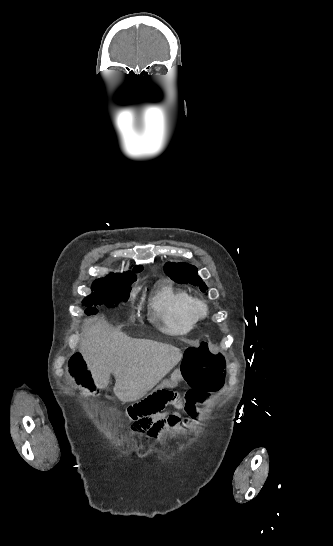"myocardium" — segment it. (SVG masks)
Segmentation results:
<instances>
[{"label": "myocardium", "instance_id": "myocardium-1", "mask_svg": "<svg viewBox=\"0 0 333 546\" xmlns=\"http://www.w3.org/2000/svg\"><path fill=\"white\" fill-rule=\"evenodd\" d=\"M191 312L193 317L196 319V321L201 320L207 316L208 306L203 300L193 299L192 305H191Z\"/></svg>", "mask_w": 333, "mask_h": 546}]
</instances>
